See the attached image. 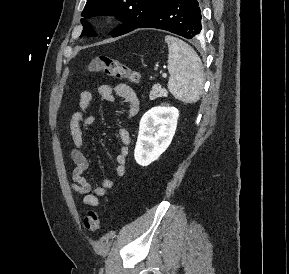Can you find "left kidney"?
I'll return each instance as SVG.
<instances>
[{
    "label": "left kidney",
    "instance_id": "5707ae66",
    "mask_svg": "<svg viewBox=\"0 0 289 274\" xmlns=\"http://www.w3.org/2000/svg\"><path fill=\"white\" fill-rule=\"evenodd\" d=\"M179 111L175 107H154L140 121L134 158L141 166L157 160L169 147L177 127Z\"/></svg>",
    "mask_w": 289,
    "mask_h": 274
}]
</instances>
